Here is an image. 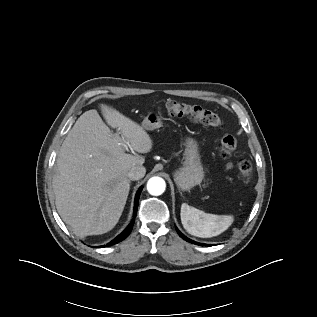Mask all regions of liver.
I'll return each instance as SVG.
<instances>
[{
    "label": "liver",
    "mask_w": 317,
    "mask_h": 317,
    "mask_svg": "<svg viewBox=\"0 0 317 317\" xmlns=\"http://www.w3.org/2000/svg\"><path fill=\"white\" fill-rule=\"evenodd\" d=\"M83 113L65 138L56 159L52 184L62 220L81 238L104 234L118 223L130 191L127 176L144 158L125 153L122 143L138 153L151 151L153 141L138 123L100 104Z\"/></svg>",
    "instance_id": "6515ba94"
}]
</instances>
